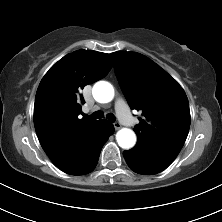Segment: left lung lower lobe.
Here are the masks:
<instances>
[{
  "label": "left lung lower lobe",
  "instance_id": "obj_1",
  "mask_svg": "<svg viewBox=\"0 0 222 222\" xmlns=\"http://www.w3.org/2000/svg\"><path fill=\"white\" fill-rule=\"evenodd\" d=\"M123 156L130 169L139 174H157L169 165L165 161L139 148L124 151Z\"/></svg>",
  "mask_w": 222,
  "mask_h": 222
}]
</instances>
